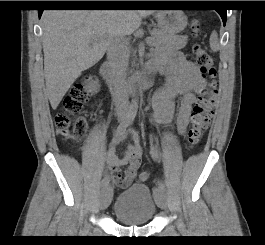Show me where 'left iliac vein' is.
<instances>
[{
    "instance_id": "1",
    "label": "left iliac vein",
    "mask_w": 265,
    "mask_h": 245,
    "mask_svg": "<svg viewBox=\"0 0 265 245\" xmlns=\"http://www.w3.org/2000/svg\"><path fill=\"white\" fill-rule=\"evenodd\" d=\"M155 200L160 208H167V198L164 191H159V193L155 195Z\"/></svg>"
}]
</instances>
